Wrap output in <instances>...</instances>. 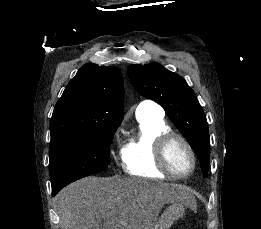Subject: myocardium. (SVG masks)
<instances>
[{"mask_svg":"<svg viewBox=\"0 0 261 229\" xmlns=\"http://www.w3.org/2000/svg\"><path fill=\"white\" fill-rule=\"evenodd\" d=\"M176 142H180L186 147L191 158V166L184 173L176 172L171 167L169 162V149ZM156 158L161 169L166 174L176 179H182L190 176L196 168V155L192 145L185 137L174 132H168L159 137L156 145Z\"/></svg>","mask_w":261,"mask_h":229,"instance_id":"myocardium-1","label":"myocardium"}]
</instances>
